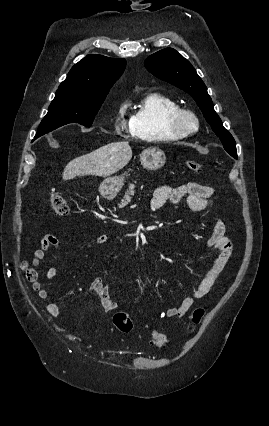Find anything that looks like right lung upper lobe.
Segmentation results:
<instances>
[{"instance_id":"1","label":"right lung upper lobe","mask_w":269,"mask_h":426,"mask_svg":"<svg viewBox=\"0 0 269 426\" xmlns=\"http://www.w3.org/2000/svg\"><path fill=\"white\" fill-rule=\"evenodd\" d=\"M125 66L124 59L88 55L72 67L56 95L87 99L106 96Z\"/></svg>"}]
</instances>
